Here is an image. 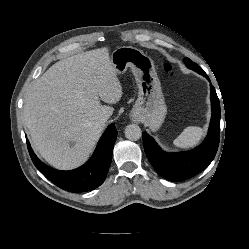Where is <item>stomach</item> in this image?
<instances>
[{"instance_id": "1", "label": "stomach", "mask_w": 249, "mask_h": 249, "mask_svg": "<svg viewBox=\"0 0 249 249\" xmlns=\"http://www.w3.org/2000/svg\"><path fill=\"white\" fill-rule=\"evenodd\" d=\"M117 74L128 68L137 82L138 98L133 106L131 117L150 127L152 131L160 128L167 114V107L152 59L141 50L123 46L114 50L110 57Z\"/></svg>"}]
</instances>
